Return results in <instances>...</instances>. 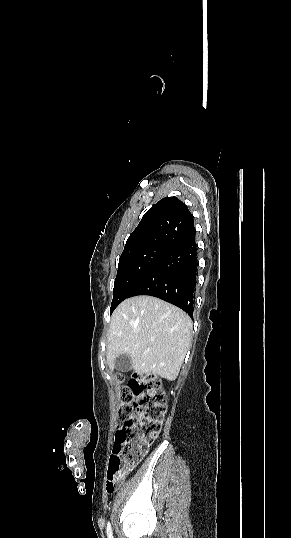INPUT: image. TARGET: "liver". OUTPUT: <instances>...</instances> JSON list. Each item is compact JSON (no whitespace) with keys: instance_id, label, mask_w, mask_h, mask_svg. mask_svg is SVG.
<instances>
[{"instance_id":"1","label":"liver","mask_w":291,"mask_h":538,"mask_svg":"<svg viewBox=\"0 0 291 538\" xmlns=\"http://www.w3.org/2000/svg\"><path fill=\"white\" fill-rule=\"evenodd\" d=\"M192 326L184 311L158 298H128L111 317L107 361L114 368L116 357L127 354L135 373L173 380L189 349Z\"/></svg>"}]
</instances>
